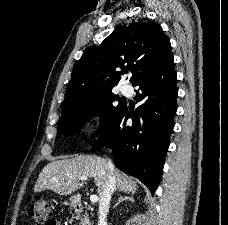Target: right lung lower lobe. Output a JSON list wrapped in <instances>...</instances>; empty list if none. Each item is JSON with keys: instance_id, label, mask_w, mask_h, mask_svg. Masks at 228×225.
Masks as SVG:
<instances>
[{"instance_id": "obj_1", "label": "right lung lower lobe", "mask_w": 228, "mask_h": 225, "mask_svg": "<svg viewBox=\"0 0 228 225\" xmlns=\"http://www.w3.org/2000/svg\"><path fill=\"white\" fill-rule=\"evenodd\" d=\"M173 54L144 75L136 85L135 112L125 106L112 124L100 133L92 151L111 147L117 167L140 179L154 194L161 179L164 157L169 146L178 95ZM131 118L133 124L126 125Z\"/></svg>"}]
</instances>
